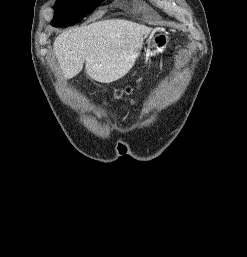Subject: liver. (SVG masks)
<instances>
[{
  "mask_svg": "<svg viewBox=\"0 0 247 257\" xmlns=\"http://www.w3.org/2000/svg\"><path fill=\"white\" fill-rule=\"evenodd\" d=\"M151 28L125 19H107L59 34L53 44L65 79L86 73L100 83L124 77L134 66Z\"/></svg>",
  "mask_w": 247,
  "mask_h": 257,
  "instance_id": "1",
  "label": "liver"
}]
</instances>
